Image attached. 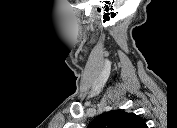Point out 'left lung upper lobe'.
<instances>
[{"mask_svg":"<svg viewBox=\"0 0 177 128\" xmlns=\"http://www.w3.org/2000/svg\"><path fill=\"white\" fill-rule=\"evenodd\" d=\"M93 128H146L145 121L134 113L112 110L98 116L91 123Z\"/></svg>","mask_w":177,"mask_h":128,"instance_id":"1","label":"left lung upper lobe"}]
</instances>
